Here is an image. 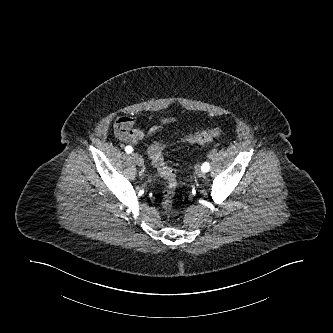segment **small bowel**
Wrapping results in <instances>:
<instances>
[{"label":"small bowel","instance_id":"1","mask_svg":"<svg viewBox=\"0 0 333 333\" xmlns=\"http://www.w3.org/2000/svg\"><path fill=\"white\" fill-rule=\"evenodd\" d=\"M173 120L171 118H163L157 124L151 126L146 132L133 128L136 119L133 116L119 117L114 123V133L118 140L123 143L136 144L145 137L152 136L155 132Z\"/></svg>","mask_w":333,"mask_h":333}]
</instances>
